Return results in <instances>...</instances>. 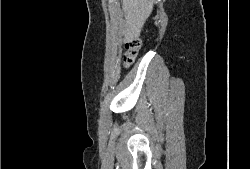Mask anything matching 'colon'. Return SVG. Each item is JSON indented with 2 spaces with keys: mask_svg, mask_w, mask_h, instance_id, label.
Listing matches in <instances>:
<instances>
[{
  "mask_svg": "<svg viewBox=\"0 0 250 169\" xmlns=\"http://www.w3.org/2000/svg\"><path fill=\"white\" fill-rule=\"evenodd\" d=\"M142 40L139 37L130 38L125 45V52L123 54V63L125 66H130L137 55L141 52Z\"/></svg>",
  "mask_w": 250,
  "mask_h": 169,
  "instance_id": "obj_1",
  "label": "colon"
}]
</instances>
